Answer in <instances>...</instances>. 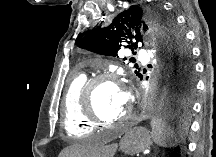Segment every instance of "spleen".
Segmentation results:
<instances>
[{
    "label": "spleen",
    "instance_id": "spleen-1",
    "mask_svg": "<svg viewBox=\"0 0 216 157\" xmlns=\"http://www.w3.org/2000/svg\"><path fill=\"white\" fill-rule=\"evenodd\" d=\"M151 137L160 147L172 148L178 143V139L168 124L162 119H153L151 122Z\"/></svg>",
    "mask_w": 216,
    "mask_h": 157
}]
</instances>
